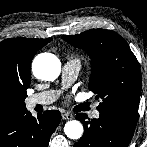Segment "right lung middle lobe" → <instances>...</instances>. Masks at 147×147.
<instances>
[{
	"label": "right lung middle lobe",
	"instance_id": "right-lung-middle-lobe-1",
	"mask_svg": "<svg viewBox=\"0 0 147 147\" xmlns=\"http://www.w3.org/2000/svg\"><path fill=\"white\" fill-rule=\"evenodd\" d=\"M27 88H21L0 78V110L11 111L24 106Z\"/></svg>",
	"mask_w": 147,
	"mask_h": 147
}]
</instances>
